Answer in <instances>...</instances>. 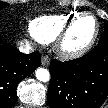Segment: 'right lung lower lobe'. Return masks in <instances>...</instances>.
<instances>
[{"label": "right lung lower lobe", "mask_w": 108, "mask_h": 108, "mask_svg": "<svg viewBox=\"0 0 108 108\" xmlns=\"http://www.w3.org/2000/svg\"><path fill=\"white\" fill-rule=\"evenodd\" d=\"M40 64L38 52L23 54L11 45H0V108H10L16 103L17 85Z\"/></svg>", "instance_id": "1"}]
</instances>
